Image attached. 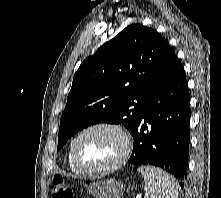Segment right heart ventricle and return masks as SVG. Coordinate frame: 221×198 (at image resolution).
I'll list each match as a JSON object with an SVG mask.
<instances>
[{
	"instance_id": "1",
	"label": "right heart ventricle",
	"mask_w": 221,
	"mask_h": 198,
	"mask_svg": "<svg viewBox=\"0 0 221 198\" xmlns=\"http://www.w3.org/2000/svg\"><path fill=\"white\" fill-rule=\"evenodd\" d=\"M67 163H68V166L69 168L71 169V171L75 172V173H81L73 164L72 162V159H71V145L68 149V152H67Z\"/></svg>"
}]
</instances>
